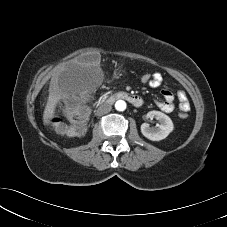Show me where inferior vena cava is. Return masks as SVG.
I'll use <instances>...</instances> for the list:
<instances>
[{
  "label": "inferior vena cava",
  "instance_id": "inferior-vena-cava-1",
  "mask_svg": "<svg viewBox=\"0 0 227 227\" xmlns=\"http://www.w3.org/2000/svg\"><path fill=\"white\" fill-rule=\"evenodd\" d=\"M111 110H112V106H111L110 104H108V103H103V104H101V105L97 108L96 114H97L98 116H102V115H104V114L109 113Z\"/></svg>",
  "mask_w": 227,
  "mask_h": 227
}]
</instances>
